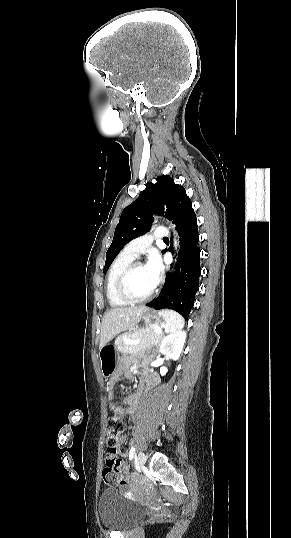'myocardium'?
Wrapping results in <instances>:
<instances>
[{
  "mask_svg": "<svg viewBox=\"0 0 291 538\" xmlns=\"http://www.w3.org/2000/svg\"><path fill=\"white\" fill-rule=\"evenodd\" d=\"M138 266H142L140 262H132L120 274L117 280V293L120 298L128 303H140L149 300L157 290V284L144 296H136L130 289V279Z\"/></svg>",
  "mask_w": 291,
  "mask_h": 538,
  "instance_id": "obj_1",
  "label": "myocardium"
}]
</instances>
